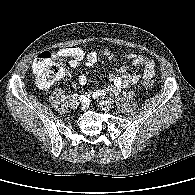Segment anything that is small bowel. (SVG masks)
<instances>
[{"instance_id": "1", "label": "small bowel", "mask_w": 195, "mask_h": 195, "mask_svg": "<svg viewBox=\"0 0 195 195\" xmlns=\"http://www.w3.org/2000/svg\"><path fill=\"white\" fill-rule=\"evenodd\" d=\"M57 54L59 57L69 58V66L71 68L78 67L83 60L86 61L87 66H93L98 59L95 51H89L86 53L76 46L62 48ZM104 56L108 60H112L115 57L114 53L108 49L104 51ZM127 59L140 69L133 73H128L125 66H118L109 74L111 84L107 87L88 92L83 97L84 103H87L90 99L102 97L105 94L116 95L122 88L133 86L141 77L144 79L153 78L155 74V64L151 59L142 54L136 53L128 54ZM79 83L85 85L87 83V77L81 75L79 77Z\"/></svg>"}]
</instances>
